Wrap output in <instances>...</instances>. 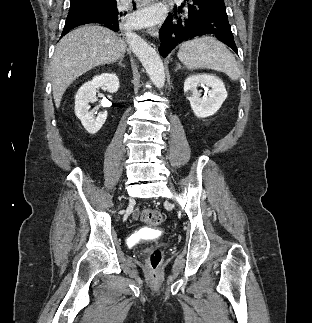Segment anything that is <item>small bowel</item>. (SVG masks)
I'll return each instance as SVG.
<instances>
[{"label":"small bowel","instance_id":"1","mask_svg":"<svg viewBox=\"0 0 312 323\" xmlns=\"http://www.w3.org/2000/svg\"><path fill=\"white\" fill-rule=\"evenodd\" d=\"M138 216L137 212H134V217L136 218Z\"/></svg>","mask_w":312,"mask_h":323}]
</instances>
